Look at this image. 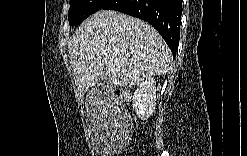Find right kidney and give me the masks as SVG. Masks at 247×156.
I'll use <instances>...</instances> for the list:
<instances>
[{
	"label": "right kidney",
	"instance_id": "obj_1",
	"mask_svg": "<svg viewBox=\"0 0 247 156\" xmlns=\"http://www.w3.org/2000/svg\"><path fill=\"white\" fill-rule=\"evenodd\" d=\"M132 105L141 120H147L156 106V82L153 77L143 80L134 92Z\"/></svg>",
	"mask_w": 247,
	"mask_h": 156
}]
</instances>
